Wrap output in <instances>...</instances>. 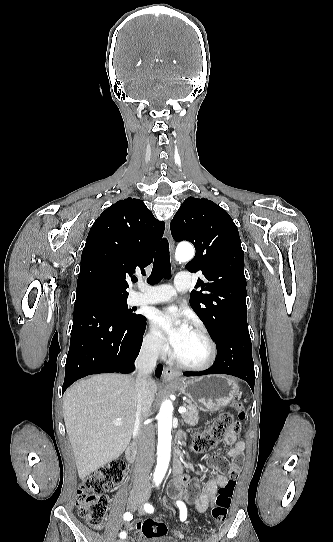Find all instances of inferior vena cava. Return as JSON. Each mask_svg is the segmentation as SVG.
<instances>
[{
  "label": "inferior vena cava",
  "instance_id": "602c4592",
  "mask_svg": "<svg viewBox=\"0 0 333 542\" xmlns=\"http://www.w3.org/2000/svg\"><path fill=\"white\" fill-rule=\"evenodd\" d=\"M157 358V348H143L135 360L137 408L134 426L138 432V452L134 470V488H150L149 474L154 462L155 432L152 424H144V420L148 418L154 400L150 382Z\"/></svg>",
  "mask_w": 333,
  "mask_h": 542
}]
</instances>
